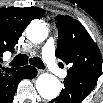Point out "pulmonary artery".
I'll use <instances>...</instances> for the list:
<instances>
[{"instance_id": "obj_1", "label": "pulmonary artery", "mask_w": 103, "mask_h": 103, "mask_svg": "<svg viewBox=\"0 0 103 103\" xmlns=\"http://www.w3.org/2000/svg\"><path fill=\"white\" fill-rule=\"evenodd\" d=\"M42 56L47 67L57 76L65 77L66 71L58 67L55 61V43L53 38H49L42 47Z\"/></svg>"}]
</instances>
